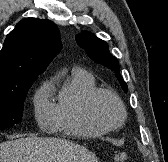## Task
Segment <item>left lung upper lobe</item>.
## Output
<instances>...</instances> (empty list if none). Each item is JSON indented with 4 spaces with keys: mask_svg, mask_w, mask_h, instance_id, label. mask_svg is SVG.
Wrapping results in <instances>:
<instances>
[{
    "mask_svg": "<svg viewBox=\"0 0 168 162\" xmlns=\"http://www.w3.org/2000/svg\"><path fill=\"white\" fill-rule=\"evenodd\" d=\"M75 39L77 44L86 51L87 55L94 62L105 66L115 73L121 87L125 92H127V85L120 76V66L118 60L110 53L108 44L87 31H83L82 33L76 35Z\"/></svg>",
    "mask_w": 168,
    "mask_h": 162,
    "instance_id": "obj_1",
    "label": "left lung upper lobe"
}]
</instances>
